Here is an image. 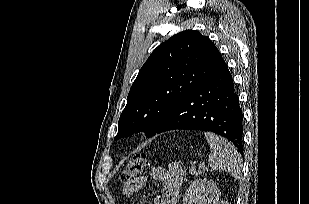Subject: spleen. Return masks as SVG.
I'll return each instance as SVG.
<instances>
[{
  "mask_svg": "<svg viewBox=\"0 0 309 204\" xmlns=\"http://www.w3.org/2000/svg\"><path fill=\"white\" fill-rule=\"evenodd\" d=\"M205 138L210 145L208 156L210 168L229 172L234 178L239 179L242 160L237 149L226 139L213 133L206 132Z\"/></svg>",
  "mask_w": 309,
  "mask_h": 204,
  "instance_id": "spleen-1",
  "label": "spleen"
}]
</instances>
